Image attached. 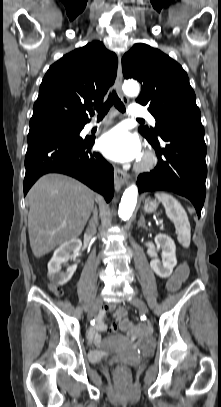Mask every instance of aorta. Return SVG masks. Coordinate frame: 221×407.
I'll return each instance as SVG.
<instances>
[{
    "label": "aorta",
    "instance_id": "aorta-1",
    "mask_svg": "<svg viewBox=\"0 0 221 407\" xmlns=\"http://www.w3.org/2000/svg\"><path fill=\"white\" fill-rule=\"evenodd\" d=\"M123 91L129 96H137L140 91L139 84L136 81H126L123 84ZM138 197V188L135 184L129 186L123 193L118 215L122 220H127L132 215Z\"/></svg>",
    "mask_w": 221,
    "mask_h": 407
}]
</instances>
